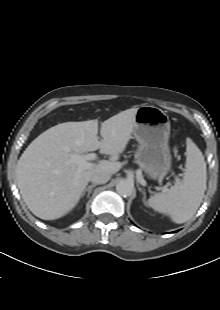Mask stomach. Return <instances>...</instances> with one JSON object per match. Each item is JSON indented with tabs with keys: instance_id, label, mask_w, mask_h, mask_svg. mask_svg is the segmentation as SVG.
Returning a JSON list of instances; mask_svg holds the SVG:
<instances>
[{
	"instance_id": "1",
	"label": "stomach",
	"mask_w": 220,
	"mask_h": 310,
	"mask_svg": "<svg viewBox=\"0 0 220 310\" xmlns=\"http://www.w3.org/2000/svg\"><path fill=\"white\" fill-rule=\"evenodd\" d=\"M132 133L139 143L135 154L136 163L151 179L163 178L172 166L168 115L155 106H140Z\"/></svg>"
}]
</instances>
